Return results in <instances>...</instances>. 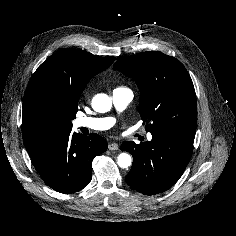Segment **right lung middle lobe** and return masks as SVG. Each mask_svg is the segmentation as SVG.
Instances as JSON below:
<instances>
[{
  "label": "right lung middle lobe",
  "mask_w": 236,
  "mask_h": 236,
  "mask_svg": "<svg viewBox=\"0 0 236 236\" xmlns=\"http://www.w3.org/2000/svg\"><path fill=\"white\" fill-rule=\"evenodd\" d=\"M76 113L77 110L59 106L47 97H39L32 111V127L45 137L55 136L72 129L71 120Z\"/></svg>",
  "instance_id": "1"
}]
</instances>
